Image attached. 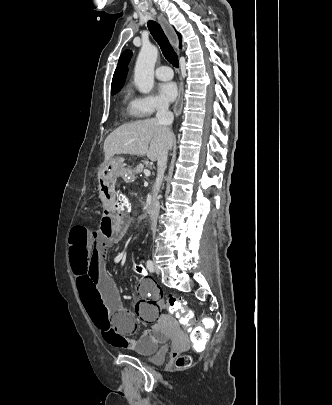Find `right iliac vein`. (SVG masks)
Segmentation results:
<instances>
[{"instance_id": "63e3f726", "label": "right iliac vein", "mask_w": 332, "mask_h": 405, "mask_svg": "<svg viewBox=\"0 0 332 405\" xmlns=\"http://www.w3.org/2000/svg\"><path fill=\"white\" fill-rule=\"evenodd\" d=\"M155 269L157 272H160L159 267L155 264Z\"/></svg>"}]
</instances>
